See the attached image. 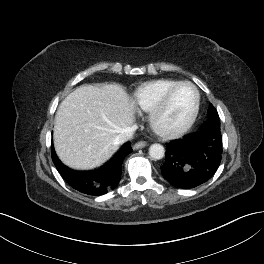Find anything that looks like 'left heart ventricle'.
Returning <instances> with one entry per match:
<instances>
[{"label":"left heart ventricle","mask_w":264,"mask_h":264,"mask_svg":"<svg viewBox=\"0 0 264 264\" xmlns=\"http://www.w3.org/2000/svg\"><path fill=\"white\" fill-rule=\"evenodd\" d=\"M194 100L195 94L190 86L183 85L177 88L159 117V124L165 128H174L183 124L191 113Z\"/></svg>","instance_id":"1"}]
</instances>
